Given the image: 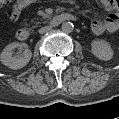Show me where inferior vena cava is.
I'll return each instance as SVG.
<instances>
[{"label":"inferior vena cava","instance_id":"602c4592","mask_svg":"<svg viewBox=\"0 0 119 119\" xmlns=\"http://www.w3.org/2000/svg\"><path fill=\"white\" fill-rule=\"evenodd\" d=\"M49 30H51V27L50 26H45V27H42V28L39 29V33L44 34V33L48 32Z\"/></svg>","mask_w":119,"mask_h":119}]
</instances>
